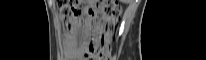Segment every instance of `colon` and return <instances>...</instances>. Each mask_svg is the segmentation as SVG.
Segmentation results:
<instances>
[{"label": "colon", "mask_w": 206, "mask_h": 60, "mask_svg": "<svg viewBox=\"0 0 206 60\" xmlns=\"http://www.w3.org/2000/svg\"><path fill=\"white\" fill-rule=\"evenodd\" d=\"M59 10L62 23L70 27L82 13L83 4L81 1H60ZM95 11L100 13L101 19L95 27L94 37L85 46L84 55L89 60H109L111 42L120 11L112 1L108 0L97 3L89 13L94 14Z\"/></svg>", "instance_id": "5ec220e1"}]
</instances>
